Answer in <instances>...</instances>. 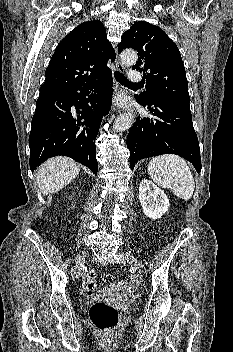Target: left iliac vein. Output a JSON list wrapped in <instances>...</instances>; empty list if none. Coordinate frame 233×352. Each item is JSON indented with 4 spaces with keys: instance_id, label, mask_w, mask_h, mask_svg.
<instances>
[{
    "instance_id": "left-iliac-vein-1",
    "label": "left iliac vein",
    "mask_w": 233,
    "mask_h": 352,
    "mask_svg": "<svg viewBox=\"0 0 233 352\" xmlns=\"http://www.w3.org/2000/svg\"><path fill=\"white\" fill-rule=\"evenodd\" d=\"M122 263H129L134 266V268L138 271V273H142L143 271V265L130 253H126L122 258H121Z\"/></svg>"
}]
</instances>
